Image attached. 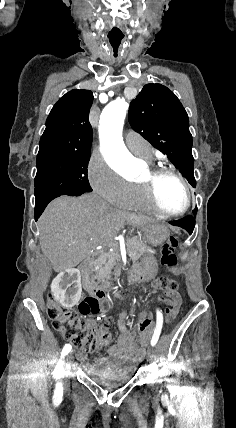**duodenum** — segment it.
Returning a JSON list of instances; mask_svg holds the SVG:
<instances>
[{
  "label": "duodenum",
  "mask_w": 236,
  "mask_h": 428,
  "mask_svg": "<svg viewBox=\"0 0 236 428\" xmlns=\"http://www.w3.org/2000/svg\"><path fill=\"white\" fill-rule=\"evenodd\" d=\"M81 271L87 291L98 299L106 300L108 298V291L90 278L88 274V266L86 263L81 265Z\"/></svg>",
  "instance_id": "duodenum-1"
}]
</instances>
